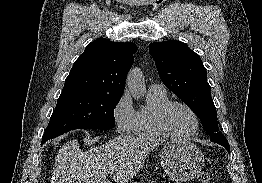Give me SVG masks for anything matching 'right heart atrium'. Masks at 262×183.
I'll list each match as a JSON object with an SVG mask.
<instances>
[{
	"instance_id": "right-heart-atrium-1",
	"label": "right heart atrium",
	"mask_w": 262,
	"mask_h": 183,
	"mask_svg": "<svg viewBox=\"0 0 262 183\" xmlns=\"http://www.w3.org/2000/svg\"><path fill=\"white\" fill-rule=\"evenodd\" d=\"M136 112L129 93L124 92L112 110V117L118 133L129 134L133 131Z\"/></svg>"
}]
</instances>
